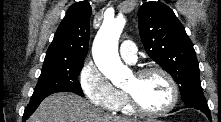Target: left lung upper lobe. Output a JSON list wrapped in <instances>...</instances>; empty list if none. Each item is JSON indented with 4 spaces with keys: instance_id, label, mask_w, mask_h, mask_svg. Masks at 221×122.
Here are the masks:
<instances>
[{
    "instance_id": "obj_1",
    "label": "left lung upper lobe",
    "mask_w": 221,
    "mask_h": 122,
    "mask_svg": "<svg viewBox=\"0 0 221 122\" xmlns=\"http://www.w3.org/2000/svg\"><path fill=\"white\" fill-rule=\"evenodd\" d=\"M138 19L146 52L179 84L185 104L206 102L193 44L172 9L160 2H146Z\"/></svg>"
}]
</instances>
